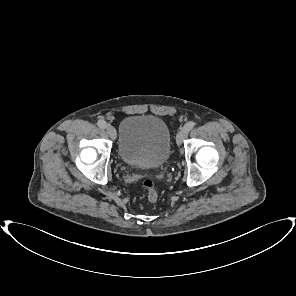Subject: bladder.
<instances>
[{
	"mask_svg": "<svg viewBox=\"0 0 296 296\" xmlns=\"http://www.w3.org/2000/svg\"><path fill=\"white\" fill-rule=\"evenodd\" d=\"M170 150V131L162 119L132 115L120 123L118 154L125 164L136 168H157L166 163Z\"/></svg>",
	"mask_w": 296,
	"mask_h": 296,
	"instance_id": "1",
	"label": "bladder"
}]
</instances>
